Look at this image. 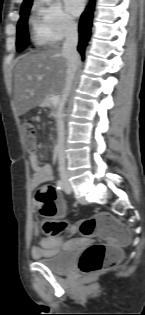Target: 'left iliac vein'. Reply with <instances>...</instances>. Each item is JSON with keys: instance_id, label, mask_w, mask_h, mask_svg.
Instances as JSON below:
<instances>
[{"instance_id": "left-iliac-vein-1", "label": "left iliac vein", "mask_w": 145, "mask_h": 315, "mask_svg": "<svg viewBox=\"0 0 145 315\" xmlns=\"http://www.w3.org/2000/svg\"><path fill=\"white\" fill-rule=\"evenodd\" d=\"M63 181H64V186H65V192L70 193L72 191V187H71V184L69 183L67 177H64Z\"/></svg>"}]
</instances>
